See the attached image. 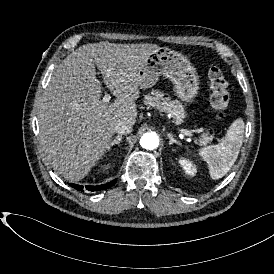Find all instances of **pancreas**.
<instances>
[{
    "instance_id": "cf45deb5",
    "label": "pancreas",
    "mask_w": 274,
    "mask_h": 274,
    "mask_svg": "<svg viewBox=\"0 0 274 274\" xmlns=\"http://www.w3.org/2000/svg\"><path fill=\"white\" fill-rule=\"evenodd\" d=\"M146 102L149 107H156L159 112H164L171 116L174 122L179 125L184 119V107L180 103H176L170 97H164L162 92L153 91L151 96H146ZM211 136L203 135L200 139L201 144L206 145Z\"/></svg>"
}]
</instances>
